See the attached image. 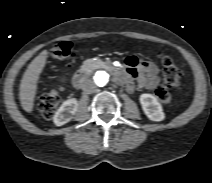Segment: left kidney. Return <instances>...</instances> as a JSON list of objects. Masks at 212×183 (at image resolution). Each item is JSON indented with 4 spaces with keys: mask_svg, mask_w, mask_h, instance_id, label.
Returning a JSON list of instances; mask_svg holds the SVG:
<instances>
[{
    "mask_svg": "<svg viewBox=\"0 0 212 183\" xmlns=\"http://www.w3.org/2000/svg\"><path fill=\"white\" fill-rule=\"evenodd\" d=\"M140 103L145 115L152 121H162L165 118L161 104L158 102L157 98L148 93L140 95Z\"/></svg>",
    "mask_w": 212,
    "mask_h": 183,
    "instance_id": "obj_1",
    "label": "left kidney"
}]
</instances>
